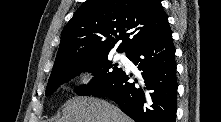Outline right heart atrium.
I'll use <instances>...</instances> for the list:
<instances>
[{
    "label": "right heart atrium",
    "instance_id": "right-heart-atrium-1",
    "mask_svg": "<svg viewBox=\"0 0 221 122\" xmlns=\"http://www.w3.org/2000/svg\"><path fill=\"white\" fill-rule=\"evenodd\" d=\"M95 80V73L92 70H84L80 73L78 82L82 86H89Z\"/></svg>",
    "mask_w": 221,
    "mask_h": 122
}]
</instances>
